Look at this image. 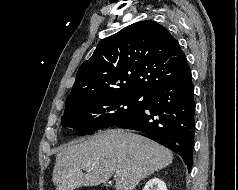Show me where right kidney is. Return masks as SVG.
<instances>
[{
  "instance_id": "right-kidney-1",
  "label": "right kidney",
  "mask_w": 238,
  "mask_h": 190,
  "mask_svg": "<svg viewBox=\"0 0 238 190\" xmlns=\"http://www.w3.org/2000/svg\"><path fill=\"white\" fill-rule=\"evenodd\" d=\"M143 190H167V187L161 179L152 178L146 183Z\"/></svg>"
}]
</instances>
